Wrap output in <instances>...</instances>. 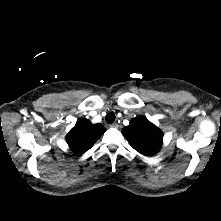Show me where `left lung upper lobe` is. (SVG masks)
I'll return each instance as SVG.
<instances>
[{"label": "left lung upper lobe", "instance_id": "5c2ea615", "mask_svg": "<svg viewBox=\"0 0 221 221\" xmlns=\"http://www.w3.org/2000/svg\"><path fill=\"white\" fill-rule=\"evenodd\" d=\"M122 134L135 150L146 156L156 154L162 146V132L146 117L132 119Z\"/></svg>", "mask_w": 221, "mask_h": 221}]
</instances>
